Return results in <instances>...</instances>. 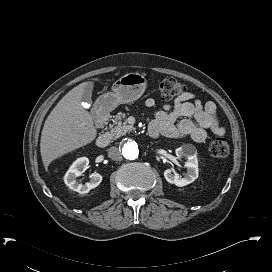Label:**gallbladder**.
<instances>
[{"label":"gallbladder","instance_id":"bac80fb5","mask_svg":"<svg viewBox=\"0 0 272 272\" xmlns=\"http://www.w3.org/2000/svg\"><path fill=\"white\" fill-rule=\"evenodd\" d=\"M91 92H92V88L90 87V85H88L86 87V92H85V94L83 95V98H82V100L84 102L88 103L89 105L92 103Z\"/></svg>","mask_w":272,"mask_h":272}]
</instances>
